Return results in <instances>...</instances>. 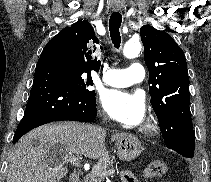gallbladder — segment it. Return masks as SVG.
Returning a JSON list of instances; mask_svg holds the SVG:
<instances>
[{
	"label": "gallbladder",
	"instance_id": "gallbladder-1",
	"mask_svg": "<svg viewBox=\"0 0 211 182\" xmlns=\"http://www.w3.org/2000/svg\"><path fill=\"white\" fill-rule=\"evenodd\" d=\"M61 148L59 145H57L55 148H52L47 154H46V159L47 160H50V159H53L55 158V156L57 154H60L61 153Z\"/></svg>",
	"mask_w": 211,
	"mask_h": 182
}]
</instances>
